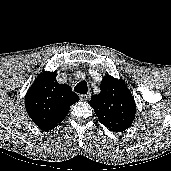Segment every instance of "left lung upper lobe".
<instances>
[{
    "label": "left lung upper lobe",
    "mask_w": 171,
    "mask_h": 171,
    "mask_svg": "<svg viewBox=\"0 0 171 171\" xmlns=\"http://www.w3.org/2000/svg\"><path fill=\"white\" fill-rule=\"evenodd\" d=\"M101 92L93 95L90 106L100 122L114 132H123L131 126L136 112L134 98L123 80L110 75L103 77Z\"/></svg>",
    "instance_id": "left-lung-upper-lobe-1"
}]
</instances>
